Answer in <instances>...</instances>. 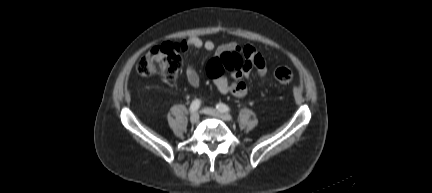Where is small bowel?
<instances>
[{
    "instance_id": "small-bowel-1",
    "label": "small bowel",
    "mask_w": 432,
    "mask_h": 193,
    "mask_svg": "<svg viewBox=\"0 0 432 193\" xmlns=\"http://www.w3.org/2000/svg\"><path fill=\"white\" fill-rule=\"evenodd\" d=\"M181 50L187 55L189 51L194 49L205 50L207 52L216 51L214 59L220 60V57L225 52H237L245 58V65L238 71L232 72L233 81L230 82L224 74L217 76L214 79L217 90L222 94H232L242 98L248 93L246 80L249 78L253 70L256 71L259 77V83L262 85L267 78V67L263 56L252 45L240 46L235 43H227L216 47L211 40H203L199 37H190L187 41L180 44ZM186 80L191 87H198L200 83V75L194 63L188 59L186 67Z\"/></svg>"
}]
</instances>
